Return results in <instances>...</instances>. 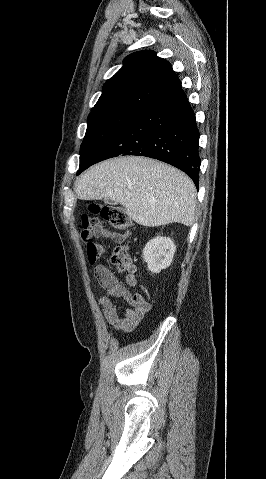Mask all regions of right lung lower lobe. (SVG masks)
Here are the masks:
<instances>
[{"mask_svg": "<svg viewBox=\"0 0 266 479\" xmlns=\"http://www.w3.org/2000/svg\"><path fill=\"white\" fill-rule=\"evenodd\" d=\"M198 142L195 114L179 86L140 110L92 165L119 155L146 156L184 171L198 188L201 163Z\"/></svg>", "mask_w": 266, "mask_h": 479, "instance_id": "1", "label": "right lung lower lobe"}]
</instances>
